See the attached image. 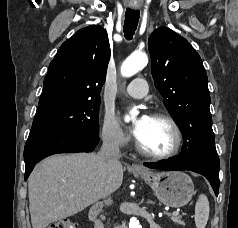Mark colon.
<instances>
[{"instance_id":"obj_1","label":"colon","mask_w":238,"mask_h":228,"mask_svg":"<svg viewBox=\"0 0 238 228\" xmlns=\"http://www.w3.org/2000/svg\"><path fill=\"white\" fill-rule=\"evenodd\" d=\"M47 228H77L76 224L68 219H61L52 222Z\"/></svg>"}]
</instances>
